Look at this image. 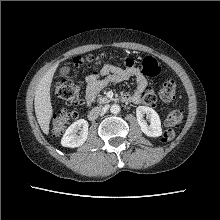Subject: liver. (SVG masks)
<instances>
[{"mask_svg":"<svg viewBox=\"0 0 220 220\" xmlns=\"http://www.w3.org/2000/svg\"><path fill=\"white\" fill-rule=\"evenodd\" d=\"M57 64L50 68L40 79L34 98V107L37 121L43 133H49V125L53 114L50 88Z\"/></svg>","mask_w":220,"mask_h":220,"instance_id":"obj_1","label":"liver"}]
</instances>
